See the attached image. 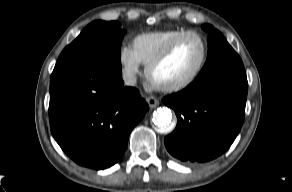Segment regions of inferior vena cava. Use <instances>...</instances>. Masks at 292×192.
Instances as JSON below:
<instances>
[{
	"mask_svg": "<svg viewBox=\"0 0 292 192\" xmlns=\"http://www.w3.org/2000/svg\"><path fill=\"white\" fill-rule=\"evenodd\" d=\"M123 80L125 85L134 86L136 84L137 78L133 73H124Z\"/></svg>",
	"mask_w": 292,
	"mask_h": 192,
	"instance_id": "1",
	"label": "inferior vena cava"
}]
</instances>
